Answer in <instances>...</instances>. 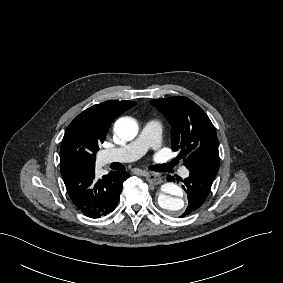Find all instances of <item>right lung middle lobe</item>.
Here are the masks:
<instances>
[{
    "label": "right lung middle lobe",
    "mask_w": 283,
    "mask_h": 283,
    "mask_svg": "<svg viewBox=\"0 0 283 283\" xmlns=\"http://www.w3.org/2000/svg\"><path fill=\"white\" fill-rule=\"evenodd\" d=\"M99 142L81 143L67 141L61 144L60 171L61 174L70 170L95 166V153L99 150Z\"/></svg>",
    "instance_id": "1"
}]
</instances>
